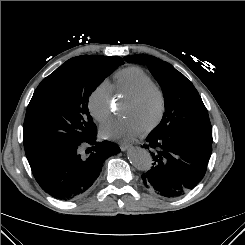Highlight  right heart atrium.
I'll return each mask as SVG.
<instances>
[{"label":"right heart atrium","mask_w":245,"mask_h":245,"mask_svg":"<svg viewBox=\"0 0 245 245\" xmlns=\"http://www.w3.org/2000/svg\"><path fill=\"white\" fill-rule=\"evenodd\" d=\"M114 93L112 85L104 80L100 82L88 97V110L91 116L100 123L107 121L112 115Z\"/></svg>","instance_id":"1"}]
</instances>
